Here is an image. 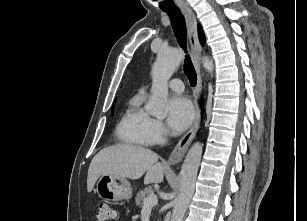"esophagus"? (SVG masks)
<instances>
[{
  "mask_svg": "<svg viewBox=\"0 0 307 221\" xmlns=\"http://www.w3.org/2000/svg\"><path fill=\"white\" fill-rule=\"evenodd\" d=\"M181 10L186 18L193 64L197 73V85L194 91L195 117L190 129L182 136V138L179 140V142L176 144L173 151L171 152L168 159V162L171 165H175L182 161L199 128L200 117H201V109L199 106V98L202 89L201 47L199 44V39L197 34V19L188 4L182 6Z\"/></svg>",
  "mask_w": 307,
  "mask_h": 221,
  "instance_id": "1",
  "label": "esophagus"
}]
</instances>
